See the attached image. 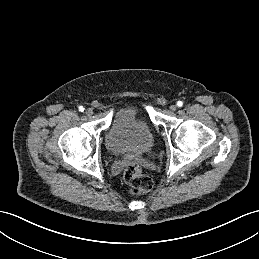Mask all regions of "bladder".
<instances>
[{"instance_id":"bladder-1","label":"bladder","mask_w":259,"mask_h":259,"mask_svg":"<svg viewBox=\"0 0 259 259\" xmlns=\"http://www.w3.org/2000/svg\"><path fill=\"white\" fill-rule=\"evenodd\" d=\"M151 143V128L139 111L122 108L116 112L106 135V146L112 154H141Z\"/></svg>"}]
</instances>
